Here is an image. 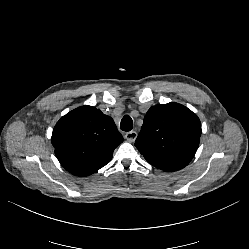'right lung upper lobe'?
Here are the masks:
<instances>
[{"label":"right lung upper lobe","instance_id":"right-lung-upper-lobe-1","mask_svg":"<svg viewBox=\"0 0 249 249\" xmlns=\"http://www.w3.org/2000/svg\"><path fill=\"white\" fill-rule=\"evenodd\" d=\"M122 142L113 119L88 105L63 116L52 133L59 162L76 176L91 175L108 164Z\"/></svg>","mask_w":249,"mask_h":249}]
</instances>
